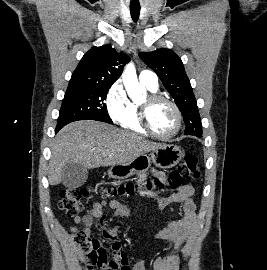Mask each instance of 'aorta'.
I'll return each mask as SVG.
<instances>
[{"instance_id": "obj_1", "label": "aorta", "mask_w": 267, "mask_h": 270, "mask_svg": "<svg viewBox=\"0 0 267 270\" xmlns=\"http://www.w3.org/2000/svg\"><path fill=\"white\" fill-rule=\"evenodd\" d=\"M122 80L128 96L133 101H138L145 97L146 91L144 87L138 82L136 69L132 62L125 66L124 72L122 74Z\"/></svg>"}]
</instances>
